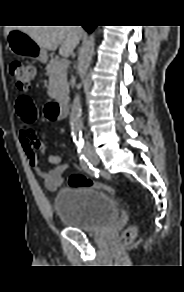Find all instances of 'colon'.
Here are the masks:
<instances>
[{
	"label": "colon",
	"instance_id": "5ec220e1",
	"mask_svg": "<svg viewBox=\"0 0 184 292\" xmlns=\"http://www.w3.org/2000/svg\"><path fill=\"white\" fill-rule=\"evenodd\" d=\"M9 72L11 77L15 80L16 86L21 91H27L30 84L35 77V68L20 60H14L9 65ZM16 113L19 121L24 126H31L37 119L38 110L32 98L23 95L16 101ZM70 187L86 186L95 189H102L110 193H115V190L109 186L94 181L82 174H72L68 179ZM137 234V228L131 226L127 228L121 236V242L124 244L130 243L134 240Z\"/></svg>",
	"mask_w": 184,
	"mask_h": 292
}]
</instances>
